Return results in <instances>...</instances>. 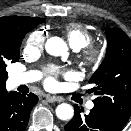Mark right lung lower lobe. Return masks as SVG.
Segmentation results:
<instances>
[{"instance_id":"1","label":"right lung lower lobe","mask_w":131,"mask_h":131,"mask_svg":"<svg viewBox=\"0 0 131 131\" xmlns=\"http://www.w3.org/2000/svg\"><path fill=\"white\" fill-rule=\"evenodd\" d=\"M38 97L18 92L0 94V131H24Z\"/></svg>"}]
</instances>
